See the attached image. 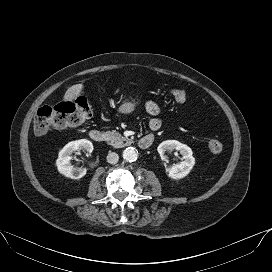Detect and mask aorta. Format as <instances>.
<instances>
[{"mask_svg":"<svg viewBox=\"0 0 272 272\" xmlns=\"http://www.w3.org/2000/svg\"><path fill=\"white\" fill-rule=\"evenodd\" d=\"M123 159L127 162H133L136 161L138 158V152L133 147H128L123 151Z\"/></svg>","mask_w":272,"mask_h":272,"instance_id":"762f6f07","label":"aorta"}]
</instances>
